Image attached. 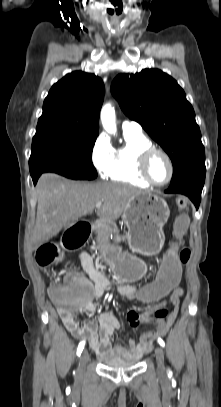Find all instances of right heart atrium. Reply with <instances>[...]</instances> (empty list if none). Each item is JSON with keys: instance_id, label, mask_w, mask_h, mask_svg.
Returning <instances> with one entry per match:
<instances>
[{"instance_id": "1", "label": "right heart atrium", "mask_w": 221, "mask_h": 407, "mask_svg": "<svg viewBox=\"0 0 221 407\" xmlns=\"http://www.w3.org/2000/svg\"><path fill=\"white\" fill-rule=\"evenodd\" d=\"M113 154L114 149L110 141L103 135H100L95 140L91 151L92 164L100 177H109L112 167Z\"/></svg>"}]
</instances>
